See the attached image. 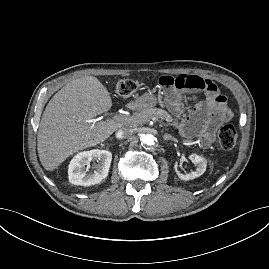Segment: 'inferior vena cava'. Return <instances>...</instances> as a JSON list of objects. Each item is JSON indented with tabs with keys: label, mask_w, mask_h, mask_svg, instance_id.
I'll return each mask as SVG.
<instances>
[{
	"label": "inferior vena cava",
	"mask_w": 269,
	"mask_h": 269,
	"mask_svg": "<svg viewBox=\"0 0 269 269\" xmlns=\"http://www.w3.org/2000/svg\"><path fill=\"white\" fill-rule=\"evenodd\" d=\"M132 133H133V130L131 128L123 127L116 132V137L119 139H123V138H127L131 136Z\"/></svg>",
	"instance_id": "inferior-vena-cava-1"
}]
</instances>
